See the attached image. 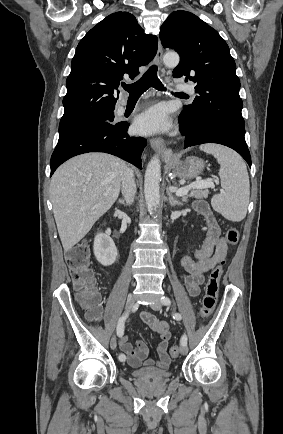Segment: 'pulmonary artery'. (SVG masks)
Here are the masks:
<instances>
[{
  "mask_svg": "<svg viewBox=\"0 0 283 434\" xmlns=\"http://www.w3.org/2000/svg\"><path fill=\"white\" fill-rule=\"evenodd\" d=\"M178 90L181 91V92H184L186 94H190V95H193L195 93L194 87L192 85H189V84H187V85H180L178 87ZM123 109H124L123 106L119 107V111L120 112H122Z\"/></svg>",
  "mask_w": 283,
  "mask_h": 434,
  "instance_id": "obj_1",
  "label": "pulmonary artery"
}]
</instances>
